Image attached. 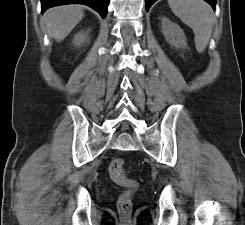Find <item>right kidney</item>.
Masks as SVG:
<instances>
[{
  "instance_id": "right-kidney-1",
  "label": "right kidney",
  "mask_w": 245,
  "mask_h": 225,
  "mask_svg": "<svg viewBox=\"0 0 245 225\" xmlns=\"http://www.w3.org/2000/svg\"><path fill=\"white\" fill-rule=\"evenodd\" d=\"M89 37H88V32L81 31L74 35L73 43L76 46H81L83 43L88 42Z\"/></svg>"
}]
</instances>
